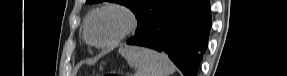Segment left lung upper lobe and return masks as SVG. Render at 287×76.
I'll use <instances>...</instances> for the list:
<instances>
[{"label":"left lung upper lobe","instance_id":"left-lung-upper-lobe-1","mask_svg":"<svg viewBox=\"0 0 287 76\" xmlns=\"http://www.w3.org/2000/svg\"><path fill=\"white\" fill-rule=\"evenodd\" d=\"M104 0H86V4L99 3ZM116 2L130 8L136 15L138 27L136 34L155 16L166 10L175 0H106Z\"/></svg>","mask_w":287,"mask_h":76}]
</instances>
